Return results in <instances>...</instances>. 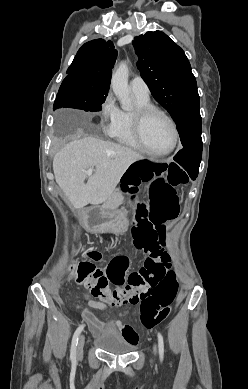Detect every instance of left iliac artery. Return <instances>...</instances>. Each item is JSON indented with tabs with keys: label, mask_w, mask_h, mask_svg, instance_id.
Listing matches in <instances>:
<instances>
[{
	"label": "left iliac artery",
	"mask_w": 248,
	"mask_h": 389,
	"mask_svg": "<svg viewBox=\"0 0 248 389\" xmlns=\"http://www.w3.org/2000/svg\"><path fill=\"white\" fill-rule=\"evenodd\" d=\"M157 336H158L159 355H160V359L162 360V359H163V356H164V341H163V336H162L161 333H159V332H158Z\"/></svg>",
	"instance_id": "44dca946"
}]
</instances>
